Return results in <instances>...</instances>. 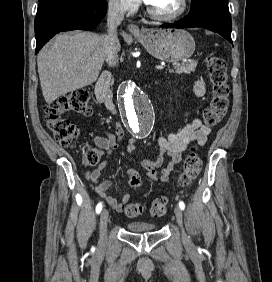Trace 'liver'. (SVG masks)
I'll return each mask as SVG.
<instances>
[{"label": "liver", "instance_id": "obj_1", "mask_svg": "<svg viewBox=\"0 0 272 282\" xmlns=\"http://www.w3.org/2000/svg\"><path fill=\"white\" fill-rule=\"evenodd\" d=\"M104 60L105 36L91 32L56 35L37 57L45 101L50 104L66 93L94 83Z\"/></svg>", "mask_w": 272, "mask_h": 282}]
</instances>
